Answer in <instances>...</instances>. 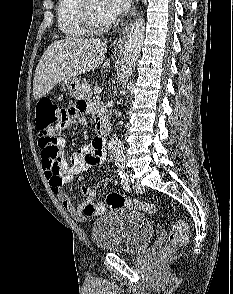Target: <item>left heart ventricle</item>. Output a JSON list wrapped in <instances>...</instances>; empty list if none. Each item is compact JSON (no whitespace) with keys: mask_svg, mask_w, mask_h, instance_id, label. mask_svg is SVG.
<instances>
[{"mask_svg":"<svg viewBox=\"0 0 233 294\" xmlns=\"http://www.w3.org/2000/svg\"><path fill=\"white\" fill-rule=\"evenodd\" d=\"M90 4L93 14L98 22L106 23L112 21V19L105 12L103 0H91Z\"/></svg>","mask_w":233,"mask_h":294,"instance_id":"1","label":"left heart ventricle"}]
</instances>
